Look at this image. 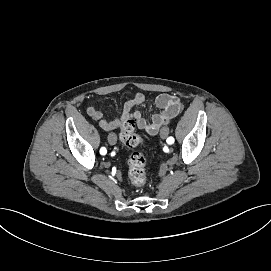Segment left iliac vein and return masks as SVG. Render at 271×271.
Masks as SVG:
<instances>
[{"label": "left iliac vein", "mask_w": 271, "mask_h": 271, "mask_svg": "<svg viewBox=\"0 0 271 271\" xmlns=\"http://www.w3.org/2000/svg\"><path fill=\"white\" fill-rule=\"evenodd\" d=\"M169 134V129L167 127H163L161 130H160V136L162 138H166Z\"/></svg>", "instance_id": "left-iliac-vein-1"}]
</instances>
